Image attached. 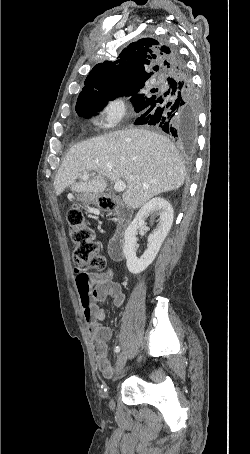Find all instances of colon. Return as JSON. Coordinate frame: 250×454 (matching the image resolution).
Segmentation results:
<instances>
[{
    "label": "colon",
    "instance_id": "1",
    "mask_svg": "<svg viewBox=\"0 0 250 454\" xmlns=\"http://www.w3.org/2000/svg\"><path fill=\"white\" fill-rule=\"evenodd\" d=\"M98 204L107 211L115 208L114 199L107 196L100 197ZM67 222L69 237L73 247V259L77 266L83 272L90 269H104L106 263L100 255L95 234L83 212L77 206H71L68 209Z\"/></svg>",
    "mask_w": 250,
    "mask_h": 454
}]
</instances>
